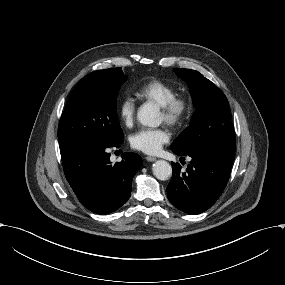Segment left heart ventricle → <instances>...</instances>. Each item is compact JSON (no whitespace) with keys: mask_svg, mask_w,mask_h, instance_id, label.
<instances>
[{"mask_svg":"<svg viewBox=\"0 0 285 285\" xmlns=\"http://www.w3.org/2000/svg\"><path fill=\"white\" fill-rule=\"evenodd\" d=\"M158 119L160 122H163L164 121V115L163 113L159 110V113H158Z\"/></svg>","mask_w":285,"mask_h":285,"instance_id":"1","label":"left heart ventricle"}]
</instances>
